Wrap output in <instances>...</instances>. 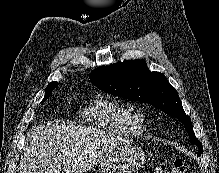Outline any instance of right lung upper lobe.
<instances>
[{"label": "right lung upper lobe", "mask_w": 219, "mask_h": 173, "mask_svg": "<svg viewBox=\"0 0 219 173\" xmlns=\"http://www.w3.org/2000/svg\"><path fill=\"white\" fill-rule=\"evenodd\" d=\"M58 84L57 82H51L48 86Z\"/></svg>", "instance_id": "cb5924a9"}]
</instances>
